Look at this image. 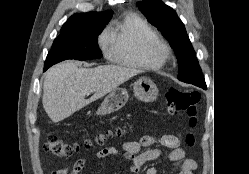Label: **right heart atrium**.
<instances>
[{
	"instance_id": "obj_1",
	"label": "right heart atrium",
	"mask_w": 249,
	"mask_h": 174,
	"mask_svg": "<svg viewBox=\"0 0 249 174\" xmlns=\"http://www.w3.org/2000/svg\"><path fill=\"white\" fill-rule=\"evenodd\" d=\"M99 46L101 47L105 56L109 57L111 53L112 43L107 31H104L98 39Z\"/></svg>"
}]
</instances>
